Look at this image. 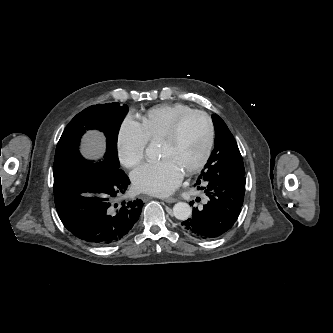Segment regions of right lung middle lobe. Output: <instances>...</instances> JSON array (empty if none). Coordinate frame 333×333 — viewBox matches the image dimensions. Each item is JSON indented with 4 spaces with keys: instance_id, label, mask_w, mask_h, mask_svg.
<instances>
[{
    "instance_id": "1",
    "label": "right lung middle lobe",
    "mask_w": 333,
    "mask_h": 333,
    "mask_svg": "<svg viewBox=\"0 0 333 333\" xmlns=\"http://www.w3.org/2000/svg\"><path fill=\"white\" fill-rule=\"evenodd\" d=\"M127 110V105L120 106L114 102L93 105L77 114L67 125L57 144L53 167L54 178L92 164L81 156L78 149L81 136L90 129H97L105 134L107 150L104 160L110 159L119 167L117 136Z\"/></svg>"
}]
</instances>
